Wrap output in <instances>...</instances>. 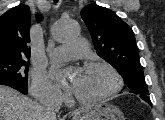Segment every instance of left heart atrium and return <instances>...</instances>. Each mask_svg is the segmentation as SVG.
I'll use <instances>...</instances> for the list:
<instances>
[{
    "mask_svg": "<svg viewBox=\"0 0 165 120\" xmlns=\"http://www.w3.org/2000/svg\"><path fill=\"white\" fill-rule=\"evenodd\" d=\"M80 72H81V71H76V72L74 73V75L72 76L71 83L66 85V87H67L69 90H71V91H74V90H75V87H76V84H77V81H78Z\"/></svg>",
    "mask_w": 165,
    "mask_h": 120,
    "instance_id": "1",
    "label": "left heart atrium"
}]
</instances>
